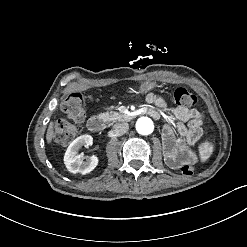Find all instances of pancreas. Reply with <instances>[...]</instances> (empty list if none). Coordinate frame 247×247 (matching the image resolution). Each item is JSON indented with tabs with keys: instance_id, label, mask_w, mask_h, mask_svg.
I'll list each match as a JSON object with an SVG mask.
<instances>
[{
	"instance_id": "pancreas-1",
	"label": "pancreas",
	"mask_w": 247,
	"mask_h": 247,
	"mask_svg": "<svg viewBox=\"0 0 247 247\" xmlns=\"http://www.w3.org/2000/svg\"><path fill=\"white\" fill-rule=\"evenodd\" d=\"M100 117L105 119L107 122L110 121H126L128 116L126 114H121L119 112H107L101 113Z\"/></svg>"
}]
</instances>
